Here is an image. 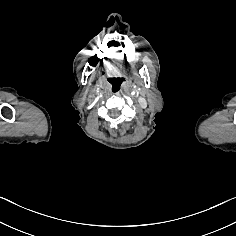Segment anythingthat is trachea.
Instances as JSON below:
<instances>
[{
  "instance_id": "obj_1",
  "label": "trachea",
  "mask_w": 236,
  "mask_h": 236,
  "mask_svg": "<svg viewBox=\"0 0 236 236\" xmlns=\"http://www.w3.org/2000/svg\"><path fill=\"white\" fill-rule=\"evenodd\" d=\"M111 90L114 94H119L122 90V87H121L120 84L115 83V84L112 85Z\"/></svg>"
}]
</instances>
